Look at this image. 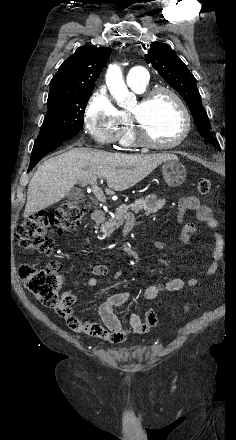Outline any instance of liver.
Segmentation results:
<instances>
[{
  "label": "liver",
  "mask_w": 236,
  "mask_h": 440,
  "mask_svg": "<svg viewBox=\"0 0 236 440\" xmlns=\"http://www.w3.org/2000/svg\"><path fill=\"white\" fill-rule=\"evenodd\" d=\"M170 159H176V156L169 153L139 155L72 148L47 159L38 167L28 186L23 215L28 218L61 201L77 182L104 178L108 186L105 189L107 194L127 190Z\"/></svg>",
  "instance_id": "obj_1"
}]
</instances>
